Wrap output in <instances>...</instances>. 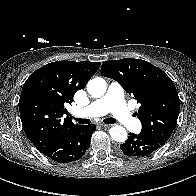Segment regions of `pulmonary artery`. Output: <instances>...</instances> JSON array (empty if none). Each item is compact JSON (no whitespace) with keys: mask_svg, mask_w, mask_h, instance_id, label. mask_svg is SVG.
I'll return each instance as SVG.
<instances>
[{"mask_svg":"<svg viewBox=\"0 0 196 196\" xmlns=\"http://www.w3.org/2000/svg\"><path fill=\"white\" fill-rule=\"evenodd\" d=\"M110 112L124 127L138 130L139 123L128 109L122 87L111 83L106 94L84 108H76L74 114L78 117H100Z\"/></svg>","mask_w":196,"mask_h":196,"instance_id":"1","label":"pulmonary artery"}]
</instances>
